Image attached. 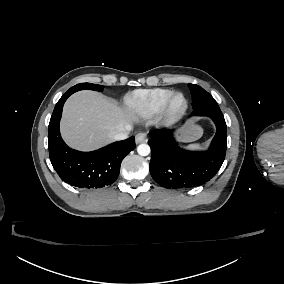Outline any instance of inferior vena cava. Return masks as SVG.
<instances>
[{"label": "inferior vena cava", "mask_w": 284, "mask_h": 284, "mask_svg": "<svg viewBox=\"0 0 284 284\" xmlns=\"http://www.w3.org/2000/svg\"><path fill=\"white\" fill-rule=\"evenodd\" d=\"M125 129L127 131H122L114 135V140L119 141V140H124L128 137V132L131 131L132 127L131 126H126Z\"/></svg>", "instance_id": "inferior-vena-cava-1"}]
</instances>
